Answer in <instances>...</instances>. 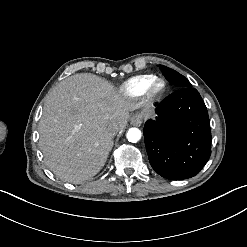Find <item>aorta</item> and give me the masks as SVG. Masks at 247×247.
<instances>
[{"label":"aorta","instance_id":"1","mask_svg":"<svg viewBox=\"0 0 247 247\" xmlns=\"http://www.w3.org/2000/svg\"><path fill=\"white\" fill-rule=\"evenodd\" d=\"M141 131L138 128H130L126 134L129 142L136 143L141 139Z\"/></svg>","mask_w":247,"mask_h":247}]
</instances>
